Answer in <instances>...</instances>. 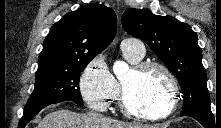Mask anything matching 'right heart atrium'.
Returning <instances> with one entry per match:
<instances>
[{
    "mask_svg": "<svg viewBox=\"0 0 221 128\" xmlns=\"http://www.w3.org/2000/svg\"><path fill=\"white\" fill-rule=\"evenodd\" d=\"M83 100L93 112H104L118 94V85L102 54L92 57L83 69L80 82Z\"/></svg>",
    "mask_w": 221,
    "mask_h": 128,
    "instance_id": "obj_1",
    "label": "right heart atrium"
}]
</instances>
